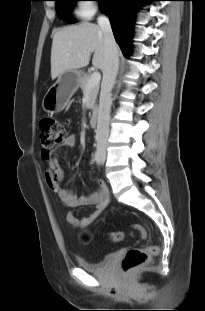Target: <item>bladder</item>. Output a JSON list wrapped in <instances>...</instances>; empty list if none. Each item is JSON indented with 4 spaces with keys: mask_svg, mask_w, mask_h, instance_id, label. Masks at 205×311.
<instances>
[{
    "mask_svg": "<svg viewBox=\"0 0 205 311\" xmlns=\"http://www.w3.org/2000/svg\"><path fill=\"white\" fill-rule=\"evenodd\" d=\"M115 254L110 253L104 256L100 262H89L84 256L77 257L78 266L86 271L103 272L106 266L114 259Z\"/></svg>",
    "mask_w": 205,
    "mask_h": 311,
    "instance_id": "obj_1",
    "label": "bladder"
}]
</instances>
